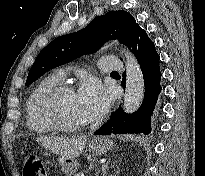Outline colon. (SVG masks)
<instances>
[{"mask_svg": "<svg viewBox=\"0 0 205 176\" xmlns=\"http://www.w3.org/2000/svg\"><path fill=\"white\" fill-rule=\"evenodd\" d=\"M23 176H45V165L40 159L28 160L22 168Z\"/></svg>", "mask_w": 205, "mask_h": 176, "instance_id": "colon-1", "label": "colon"}]
</instances>
